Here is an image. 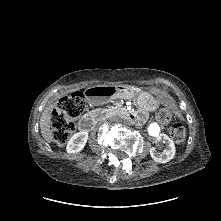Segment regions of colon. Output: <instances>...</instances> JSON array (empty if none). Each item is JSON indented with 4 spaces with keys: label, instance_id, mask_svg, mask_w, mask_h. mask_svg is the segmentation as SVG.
Returning a JSON list of instances; mask_svg holds the SVG:
<instances>
[{
    "label": "colon",
    "instance_id": "5ec220e1",
    "mask_svg": "<svg viewBox=\"0 0 221 221\" xmlns=\"http://www.w3.org/2000/svg\"><path fill=\"white\" fill-rule=\"evenodd\" d=\"M85 108V97L80 92L64 96L58 101L52 125L54 138L59 144L63 145L68 141L75 130V119L85 111ZM156 117L159 122L167 124L171 120V113L167 108H160ZM169 133L174 142L178 144L182 143L185 138V128L180 122L171 123Z\"/></svg>",
    "mask_w": 221,
    "mask_h": 221
}]
</instances>
